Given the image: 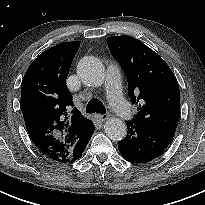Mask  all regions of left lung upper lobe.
<instances>
[{"instance_id":"obj_1","label":"left lung upper lobe","mask_w":205,"mask_h":205,"mask_svg":"<svg viewBox=\"0 0 205 205\" xmlns=\"http://www.w3.org/2000/svg\"><path fill=\"white\" fill-rule=\"evenodd\" d=\"M107 43L127 75L131 102L138 105L133 121L176 129L180 117L179 85L166 62L130 36L108 37Z\"/></svg>"}]
</instances>
